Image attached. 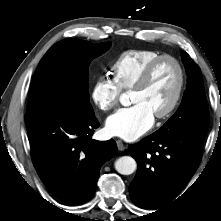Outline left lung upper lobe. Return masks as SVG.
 <instances>
[{"mask_svg": "<svg viewBox=\"0 0 221 221\" xmlns=\"http://www.w3.org/2000/svg\"><path fill=\"white\" fill-rule=\"evenodd\" d=\"M181 56L188 74L187 89L178 110L154 133L194 132L206 135L209 110L201 71L185 51H182Z\"/></svg>", "mask_w": 221, "mask_h": 221, "instance_id": "left-lung-upper-lobe-1", "label": "left lung upper lobe"}]
</instances>
